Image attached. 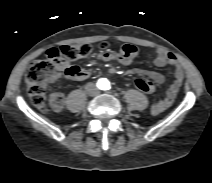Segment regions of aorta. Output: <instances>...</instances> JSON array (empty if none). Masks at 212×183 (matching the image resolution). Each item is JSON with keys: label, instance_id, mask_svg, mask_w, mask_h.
<instances>
[{"label": "aorta", "instance_id": "obj_1", "mask_svg": "<svg viewBox=\"0 0 212 183\" xmlns=\"http://www.w3.org/2000/svg\"><path fill=\"white\" fill-rule=\"evenodd\" d=\"M99 85H101L103 89H107L109 86V81L105 78H102L99 80Z\"/></svg>", "mask_w": 212, "mask_h": 183}]
</instances>
